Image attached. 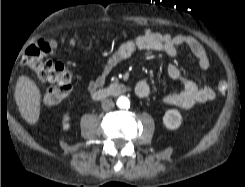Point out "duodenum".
Listing matches in <instances>:
<instances>
[{
    "label": "duodenum",
    "mask_w": 245,
    "mask_h": 187,
    "mask_svg": "<svg viewBox=\"0 0 245 187\" xmlns=\"http://www.w3.org/2000/svg\"><path fill=\"white\" fill-rule=\"evenodd\" d=\"M130 90V87L123 83L115 82L105 88L97 89L92 93L95 100H101L109 96H118Z\"/></svg>",
    "instance_id": "1"
}]
</instances>
